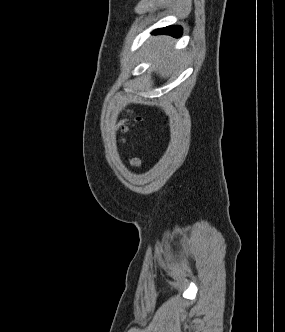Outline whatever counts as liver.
<instances>
[{
  "label": "liver",
  "mask_w": 285,
  "mask_h": 332,
  "mask_svg": "<svg viewBox=\"0 0 285 332\" xmlns=\"http://www.w3.org/2000/svg\"><path fill=\"white\" fill-rule=\"evenodd\" d=\"M168 37H159L152 43L154 47V58L157 59L158 69L157 73L163 78H167L171 75L173 68L179 63V56L176 53L169 51L170 45L167 44ZM127 112H130L127 110Z\"/></svg>",
  "instance_id": "1"
}]
</instances>
